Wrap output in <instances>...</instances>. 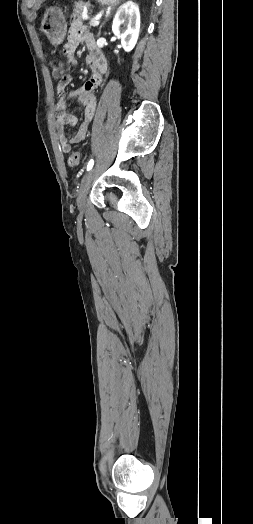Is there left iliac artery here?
<instances>
[{
    "label": "left iliac artery",
    "instance_id": "left-iliac-artery-1",
    "mask_svg": "<svg viewBox=\"0 0 253 524\" xmlns=\"http://www.w3.org/2000/svg\"><path fill=\"white\" fill-rule=\"evenodd\" d=\"M93 165H94V160L91 159V160L88 162V165H87V171L91 170L92 167H93Z\"/></svg>",
    "mask_w": 253,
    "mask_h": 524
}]
</instances>
